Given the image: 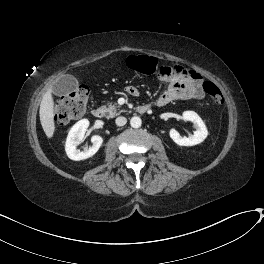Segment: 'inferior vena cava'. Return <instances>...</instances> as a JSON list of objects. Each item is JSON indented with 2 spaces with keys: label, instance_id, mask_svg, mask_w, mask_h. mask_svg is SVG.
Masks as SVG:
<instances>
[{
  "label": "inferior vena cava",
  "instance_id": "obj_1",
  "mask_svg": "<svg viewBox=\"0 0 264 264\" xmlns=\"http://www.w3.org/2000/svg\"><path fill=\"white\" fill-rule=\"evenodd\" d=\"M117 126H124L127 123V119L125 117H117L115 120Z\"/></svg>",
  "mask_w": 264,
  "mask_h": 264
}]
</instances>
